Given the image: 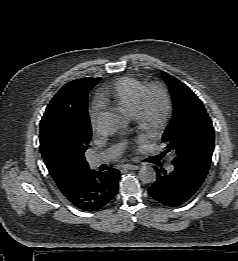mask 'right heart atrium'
<instances>
[{
    "mask_svg": "<svg viewBox=\"0 0 238 261\" xmlns=\"http://www.w3.org/2000/svg\"><path fill=\"white\" fill-rule=\"evenodd\" d=\"M99 114V107L98 106H94L93 109L91 110V114H90V120L92 123V126L94 127L96 124V120Z\"/></svg>",
    "mask_w": 238,
    "mask_h": 261,
    "instance_id": "1",
    "label": "right heart atrium"
}]
</instances>
